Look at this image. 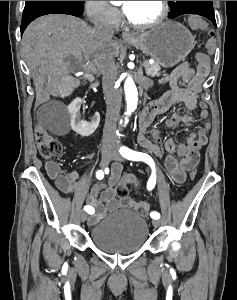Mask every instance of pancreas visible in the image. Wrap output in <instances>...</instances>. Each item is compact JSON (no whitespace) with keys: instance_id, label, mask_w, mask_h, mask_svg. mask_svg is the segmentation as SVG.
Masks as SVG:
<instances>
[{"instance_id":"1","label":"pancreas","mask_w":237,"mask_h":300,"mask_svg":"<svg viewBox=\"0 0 237 300\" xmlns=\"http://www.w3.org/2000/svg\"><path fill=\"white\" fill-rule=\"evenodd\" d=\"M148 63V61H147ZM148 68H145L146 75L148 77H156V75H160L159 71L161 69L160 63H148ZM145 65H143L144 67Z\"/></svg>"}]
</instances>
